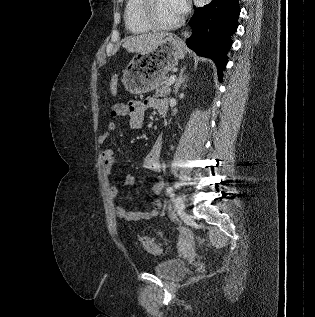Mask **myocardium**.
<instances>
[{"label": "myocardium", "mask_w": 315, "mask_h": 317, "mask_svg": "<svg viewBox=\"0 0 315 317\" xmlns=\"http://www.w3.org/2000/svg\"><path fill=\"white\" fill-rule=\"evenodd\" d=\"M155 3H156V0H143V3L141 5V10H140V15L143 22L146 25H148L151 29L172 30L179 27L182 24L183 22L182 17H179L178 20L170 24L159 23L154 16Z\"/></svg>", "instance_id": "f54148a6"}]
</instances>
